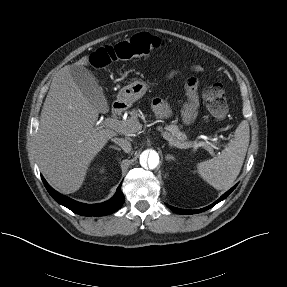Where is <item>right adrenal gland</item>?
<instances>
[{"label": "right adrenal gland", "instance_id": "right-adrenal-gland-1", "mask_svg": "<svg viewBox=\"0 0 287 287\" xmlns=\"http://www.w3.org/2000/svg\"><path fill=\"white\" fill-rule=\"evenodd\" d=\"M109 148H112V149H115V150H118V151H120L121 149L119 148V147H116V146H109Z\"/></svg>", "mask_w": 287, "mask_h": 287}]
</instances>
